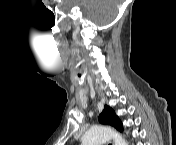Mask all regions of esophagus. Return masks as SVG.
<instances>
[{"instance_id": "esophagus-1", "label": "esophagus", "mask_w": 176, "mask_h": 145, "mask_svg": "<svg viewBox=\"0 0 176 145\" xmlns=\"http://www.w3.org/2000/svg\"><path fill=\"white\" fill-rule=\"evenodd\" d=\"M108 145H113V143L110 141V142L108 143Z\"/></svg>"}]
</instances>
